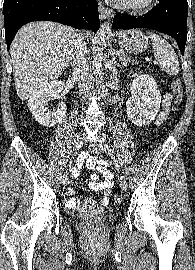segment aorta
<instances>
[{"mask_svg":"<svg viewBox=\"0 0 195 270\" xmlns=\"http://www.w3.org/2000/svg\"><path fill=\"white\" fill-rule=\"evenodd\" d=\"M111 31V25L109 22H105L101 25L98 33L96 44L97 47L95 49V55L93 58V74L96 79V83L98 87L103 86L104 76L102 69V61H103V45L105 44V38L107 34Z\"/></svg>","mask_w":195,"mask_h":270,"instance_id":"1","label":"aorta"}]
</instances>
